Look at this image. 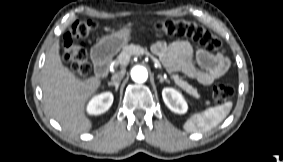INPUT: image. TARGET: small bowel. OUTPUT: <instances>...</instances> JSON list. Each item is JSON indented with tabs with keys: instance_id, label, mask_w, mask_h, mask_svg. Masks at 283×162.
I'll return each mask as SVG.
<instances>
[{
	"instance_id": "c3829d8e",
	"label": "small bowel",
	"mask_w": 283,
	"mask_h": 162,
	"mask_svg": "<svg viewBox=\"0 0 283 162\" xmlns=\"http://www.w3.org/2000/svg\"><path fill=\"white\" fill-rule=\"evenodd\" d=\"M165 67L173 71H182L189 78L202 85H210L222 77L230 67V61L222 54H212L187 41H175L167 44L158 41L152 46Z\"/></svg>"
}]
</instances>
